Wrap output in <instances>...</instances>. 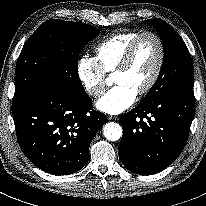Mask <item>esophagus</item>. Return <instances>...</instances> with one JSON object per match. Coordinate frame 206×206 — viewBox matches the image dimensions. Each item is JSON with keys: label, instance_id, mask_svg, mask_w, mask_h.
<instances>
[{"label": "esophagus", "instance_id": "34e87169", "mask_svg": "<svg viewBox=\"0 0 206 206\" xmlns=\"http://www.w3.org/2000/svg\"><path fill=\"white\" fill-rule=\"evenodd\" d=\"M108 119L109 120H118V117L117 116H108Z\"/></svg>", "mask_w": 206, "mask_h": 206}]
</instances>
